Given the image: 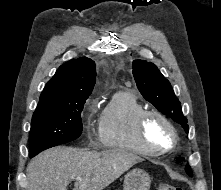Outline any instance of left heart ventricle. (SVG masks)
I'll list each match as a JSON object with an SVG mask.
<instances>
[{
    "label": "left heart ventricle",
    "instance_id": "b2bd125f",
    "mask_svg": "<svg viewBox=\"0 0 221 190\" xmlns=\"http://www.w3.org/2000/svg\"><path fill=\"white\" fill-rule=\"evenodd\" d=\"M148 141L156 148H165L172 143V135L166 125L158 118L151 117L145 129Z\"/></svg>",
    "mask_w": 221,
    "mask_h": 190
}]
</instances>
